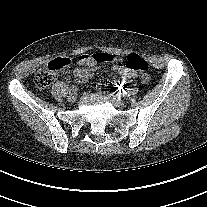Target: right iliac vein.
Returning <instances> with one entry per match:
<instances>
[{
    "label": "right iliac vein",
    "instance_id": "1",
    "mask_svg": "<svg viewBox=\"0 0 207 207\" xmlns=\"http://www.w3.org/2000/svg\"><path fill=\"white\" fill-rule=\"evenodd\" d=\"M76 100H77L76 94H70V96L68 97V101L70 103H74Z\"/></svg>",
    "mask_w": 207,
    "mask_h": 207
}]
</instances>
